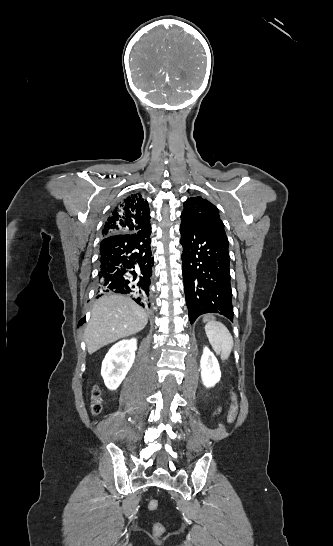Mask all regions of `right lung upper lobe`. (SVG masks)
Returning a JSON list of instances; mask_svg holds the SVG:
<instances>
[{"mask_svg":"<svg viewBox=\"0 0 333 546\" xmlns=\"http://www.w3.org/2000/svg\"><path fill=\"white\" fill-rule=\"evenodd\" d=\"M149 206L141 195H131L122 200L110 212L102 230V236L115 233H131L150 226Z\"/></svg>","mask_w":333,"mask_h":546,"instance_id":"1","label":"right lung upper lobe"}]
</instances>
